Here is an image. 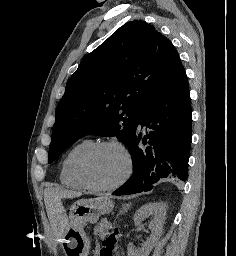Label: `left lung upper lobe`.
I'll list each match as a JSON object with an SVG mask.
<instances>
[{"label": "left lung upper lobe", "instance_id": "1", "mask_svg": "<svg viewBox=\"0 0 236 256\" xmlns=\"http://www.w3.org/2000/svg\"><path fill=\"white\" fill-rule=\"evenodd\" d=\"M184 68L154 26L130 21L80 63L56 109L48 163L88 135L116 136L127 147L143 108Z\"/></svg>", "mask_w": 236, "mask_h": 256}]
</instances>
